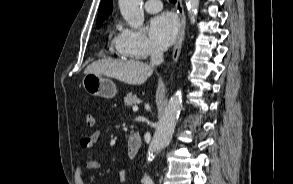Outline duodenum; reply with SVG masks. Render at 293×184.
Here are the masks:
<instances>
[{"label": "duodenum", "instance_id": "obj_1", "mask_svg": "<svg viewBox=\"0 0 293 184\" xmlns=\"http://www.w3.org/2000/svg\"><path fill=\"white\" fill-rule=\"evenodd\" d=\"M142 145V139L139 133H133L127 140V153L130 159L134 158Z\"/></svg>", "mask_w": 293, "mask_h": 184}]
</instances>
